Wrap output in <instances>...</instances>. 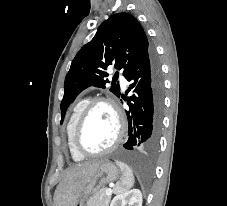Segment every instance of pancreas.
I'll return each mask as SVG.
<instances>
[{
    "mask_svg": "<svg viewBox=\"0 0 227 206\" xmlns=\"http://www.w3.org/2000/svg\"><path fill=\"white\" fill-rule=\"evenodd\" d=\"M106 190L107 188H102L94 193V195H92L87 201L86 206H108L111 195H107Z\"/></svg>",
    "mask_w": 227,
    "mask_h": 206,
    "instance_id": "cf45deb5",
    "label": "pancreas"
}]
</instances>
